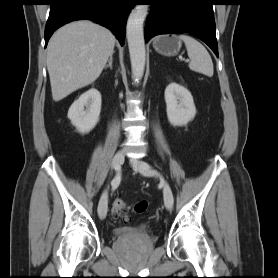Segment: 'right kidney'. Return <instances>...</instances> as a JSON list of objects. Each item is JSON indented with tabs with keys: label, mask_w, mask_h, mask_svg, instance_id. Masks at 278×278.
Masks as SVG:
<instances>
[{
	"label": "right kidney",
	"mask_w": 278,
	"mask_h": 278,
	"mask_svg": "<svg viewBox=\"0 0 278 278\" xmlns=\"http://www.w3.org/2000/svg\"><path fill=\"white\" fill-rule=\"evenodd\" d=\"M100 111L101 94L97 89L91 88L73 102L68 110V118L78 132L84 134L96 126Z\"/></svg>",
	"instance_id": "obj_1"
}]
</instances>
